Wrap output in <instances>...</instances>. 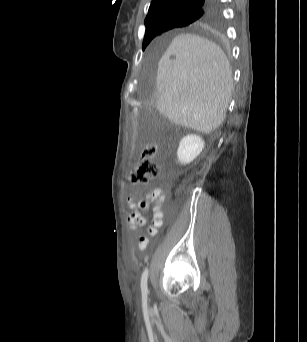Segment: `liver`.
<instances>
[{
  "label": "liver",
  "instance_id": "liver-1",
  "mask_svg": "<svg viewBox=\"0 0 307 342\" xmlns=\"http://www.w3.org/2000/svg\"><path fill=\"white\" fill-rule=\"evenodd\" d=\"M156 110L201 134L224 122L233 80L221 48L195 34H179L158 64Z\"/></svg>",
  "mask_w": 307,
  "mask_h": 342
}]
</instances>
